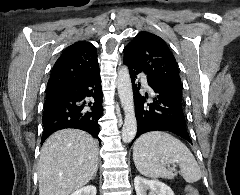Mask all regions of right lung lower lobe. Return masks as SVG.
<instances>
[{
  "mask_svg": "<svg viewBox=\"0 0 240 195\" xmlns=\"http://www.w3.org/2000/svg\"><path fill=\"white\" fill-rule=\"evenodd\" d=\"M100 75L74 85L47 88L41 144L55 131L81 129L99 139L103 115Z\"/></svg>",
  "mask_w": 240,
  "mask_h": 195,
  "instance_id": "1",
  "label": "right lung lower lobe"
}]
</instances>
